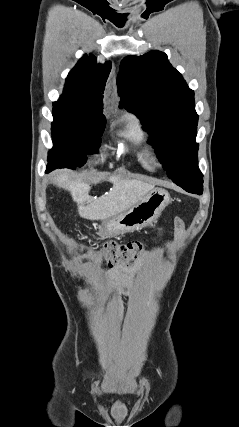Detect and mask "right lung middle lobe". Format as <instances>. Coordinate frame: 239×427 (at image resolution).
Segmentation results:
<instances>
[{
  "instance_id": "1",
  "label": "right lung middle lobe",
  "mask_w": 239,
  "mask_h": 427,
  "mask_svg": "<svg viewBox=\"0 0 239 427\" xmlns=\"http://www.w3.org/2000/svg\"><path fill=\"white\" fill-rule=\"evenodd\" d=\"M53 149L48 154L47 172L61 167L75 169L98 151L106 125L102 113H89L64 106H54Z\"/></svg>"
}]
</instances>
